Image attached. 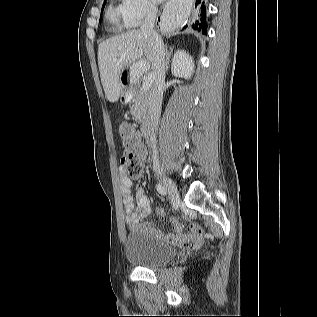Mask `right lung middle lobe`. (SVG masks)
I'll list each match as a JSON object with an SVG mask.
<instances>
[{
	"label": "right lung middle lobe",
	"instance_id": "1",
	"mask_svg": "<svg viewBox=\"0 0 317 317\" xmlns=\"http://www.w3.org/2000/svg\"><path fill=\"white\" fill-rule=\"evenodd\" d=\"M105 1H106V0H104V2H105ZM104 5H105V4H103L102 9L104 8Z\"/></svg>",
	"mask_w": 317,
	"mask_h": 317
}]
</instances>
